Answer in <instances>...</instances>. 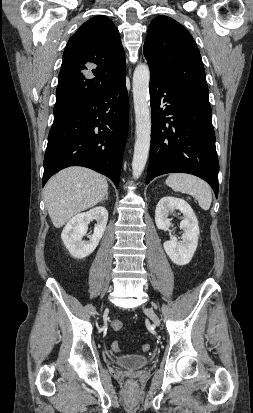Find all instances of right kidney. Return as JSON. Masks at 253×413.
<instances>
[{"label":"right kidney","mask_w":253,"mask_h":413,"mask_svg":"<svg viewBox=\"0 0 253 413\" xmlns=\"http://www.w3.org/2000/svg\"><path fill=\"white\" fill-rule=\"evenodd\" d=\"M91 220H96L94 232L88 242L82 240ZM108 221L105 207H95L88 212L77 214L64 227L61 238L69 253L78 259L89 256L98 246Z\"/></svg>","instance_id":"1"}]
</instances>
